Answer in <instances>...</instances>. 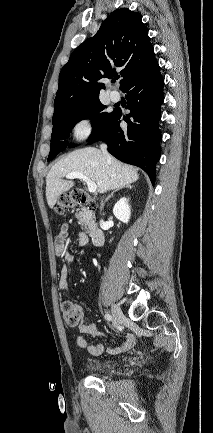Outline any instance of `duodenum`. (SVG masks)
Wrapping results in <instances>:
<instances>
[{
    "mask_svg": "<svg viewBox=\"0 0 213 433\" xmlns=\"http://www.w3.org/2000/svg\"><path fill=\"white\" fill-rule=\"evenodd\" d=\"M88 211L92 212L93 210L84 206ZM90 236L93 244L95 246H102L104 243V232L103 230L97 226L95 223L91 224L90 227Z\"/></svg>",
    "mask_w": 213,
    "mask_h": 433,
    "instance_id": "duodenum-1",
    "label": "duodenum"
}]
</instances>
